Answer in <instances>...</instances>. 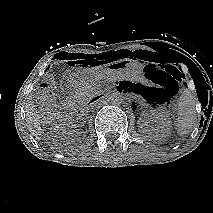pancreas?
<instances>
[{
    "mask_svg": "<svg viewBox=\"0 0 213 213\" xmlns=\"http://www.w3.org/2000/svg\"><path fill=\"white\" fill-rule=\"evenodd\" d=\"M97 84H87L80 89V101L87 102L96 94Z\"/></svg>",
    "mask_w": 213,
    "mask_h": 213,
    "instance_id": "pancreas-1",
    "label": "pancreas"
}]
</instances>
